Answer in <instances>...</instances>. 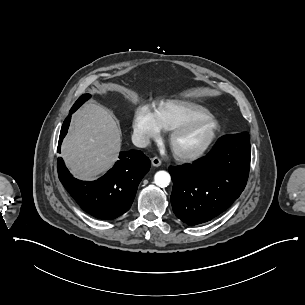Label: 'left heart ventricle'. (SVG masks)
I'll return each instance as SVG.
<instances>
[{"instance_id":"left-heart-ventricle-1","label":"left heart ventricle","mask_w":305,"mask_h":305,"mask_svg":"<svg viewBox=\"0 0 305 305\" xmlns=\"http://www.w3.org/2000/svg\"><path fill=\"white\" fill-rule=\"evenodd\" d=\"M213 130V124L206 121L192 126L186 132L183 144L185 146H199L205 143Z\"/></svg>"}]
</instances>
